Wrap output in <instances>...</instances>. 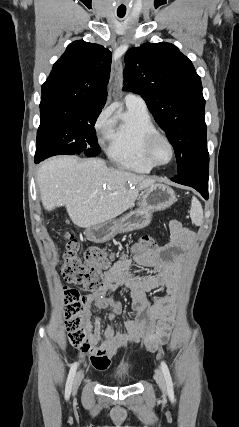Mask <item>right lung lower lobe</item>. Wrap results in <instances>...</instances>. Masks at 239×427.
<instances>
[{
  "instance_id": "98d812e1",
  "label": "right lung lower lobe",
  "mask_w": 239,
  "mask_h": 427,
  "mask_svg": "<svg viewBox=\"0 0 239 427\" xmlns=\"http://www.w3.org/2000/svg\"><path fill=\"white\" fill-rule=\"evenodd\" d=\"M38 162H40V161L35 160V163H38Z\"/></svg>"
}]
</instances>
